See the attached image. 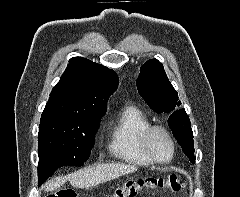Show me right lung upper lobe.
<instances>
[{"label":"right lung upper lobe","instance_id":"obj_1","mask_svg":"<svg viewBox=\"0 0 240 197\" xmlns=\"http://www.w3.org/2000/svg\"><path fill=\"white\" fill-rule=\"evenodd\" d=\"M119 84L117 74L101 64L74 57L50 93L42 118L97 120Z\"/></svg>","mask_w":240,"mask_h":197}]
</instances>
